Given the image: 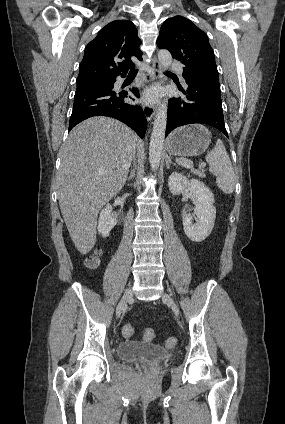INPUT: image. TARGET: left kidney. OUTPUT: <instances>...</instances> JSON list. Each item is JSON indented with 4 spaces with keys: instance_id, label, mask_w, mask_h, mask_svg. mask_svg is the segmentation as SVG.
Returning a JSON list of instances; mask_svg holds the SVG:
<instances>
[{
    "instance_id": "obj_1",
    "label": "left kidney",
    "mask_w": 285,
    "mask_h": 424,
    "mask_svg": "<svg viewBox=\"0 0 285 424\" xmlns=\"http://www.w3.org/2000/svg\"><path fill=\"white\" fill-rule=\"evenodd\" d=\"M169 190L173 195H179L184 190H189L196 202L194 216L197 217L193 224V216L184 212L182 214L183 229L187 237L193 242H201L208 237L214 227L216 208L212 191L200 180H189L184 175L173 172L168 179Z\"/></svg>"
}]
</instances>
